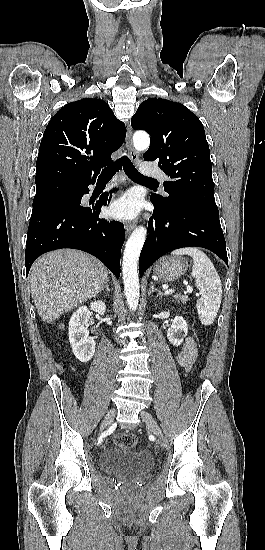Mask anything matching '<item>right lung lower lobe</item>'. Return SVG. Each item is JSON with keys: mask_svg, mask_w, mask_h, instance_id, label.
I'll return each instance as SVG.
<instances>
[{"mask_svg": "<svg viewBox=\"0 0 265 550\" xmlns=\"http://www.w3.org/2000/svg\"><path fill=\"white\" fill-rule=\"evenodd\" d=\"M94 183L95 180L77 186L70 197L32 210L25 251L26 275L43 253L74 248L94 255L119 278L124 226L98 218L101 206L109 203L111 197L108 199L104 193L95 206L80 205L83 195L89 193V184Z\"/></svg>", "mask_w": 265, "mask_h": 550, "instance_id": "right-lung-lower-lobe-1", "label": "right lung lower lobe"}]
</instances>
